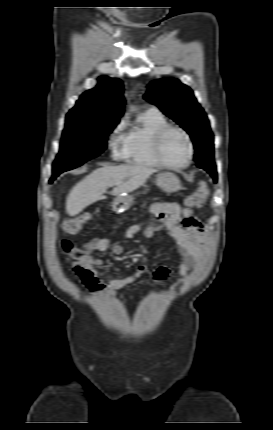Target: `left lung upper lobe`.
<instances>
[{
  "instance_id": "obj_1",
  "label": "left lung upper lobe",
  "mask_w": 273,
  "mask_h": 430,
  "mask_svg": "<svg viewBox=\"0 0 273 430\" xmlns=\"http://www.w3.org/2000/svg\"><path fill=\"white\" fill-rule=\"evenodd\" d=\"M148 88L145 99L157 105L190 134L196 149L194 160L199 163L214 159L209 121L192 90L174 78L155 80Z\"/></svg>"
}]
</instances>
